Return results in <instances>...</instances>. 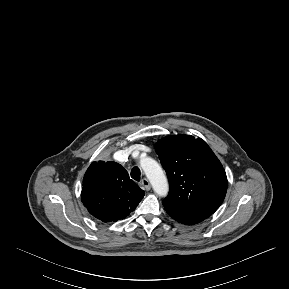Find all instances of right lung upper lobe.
I'll list each match as a JSON object with an SVG mask.
<instances>
[{
    "label": "right lung upper lobe",
    "mask_w": 289,
    "mask_h": 289,
    "mask_svg": "<svg viewBox=\"0 0 289 289\" xmlns=\"http://www.w3.org/2000/svg\"><path fill=\"white\" fill-rule=\"evenodd\" d=\"M144 194L120 164L98 161L84 175L81 200L95 218L115 222L134 211Z\"/></svg>",
    "instance_id": "1"
}]
</instances>
